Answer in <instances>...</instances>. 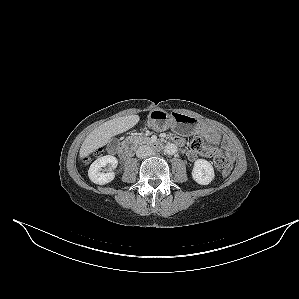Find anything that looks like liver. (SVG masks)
<instances>
[{
    "label": "liver",
    "mask_w": 299,
    "mask_h": 299,
    "mask_svg": "<svg viewBox=\"0 0 299 299\" xmlns=\"http://www.w3.org/2000/svg\"><path fill=\"white\" fill-rule=\"evenodd\" d=\"M140 120L138 115H129L109 120L94 129L83 141L80 158H86L98 148L105 146L110 139L134 127Z\"/></svg>",
    "instance_id": "6515ba94"
}]
</instances>
